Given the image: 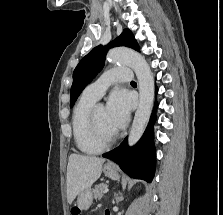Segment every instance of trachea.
<instances>
[{
  "label": "trachea",
  "mask_w": 223,
  "mask_h": 215,
  "mask_svg": "<svg viewBox=\"0 0 223 215\" xmlns=\"http://www.w3.org/2000/svg\"><path fill=\"white\" fill-rule=\"evenodd\" d=\"M131 83H136V82H134V81H131Z\"/></svg>",
  "instance_id": "1"
}]
</instances>
